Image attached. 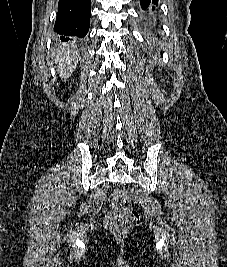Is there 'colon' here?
Wrapping results in <instances>:
<instances>
[{
    "instance_id": "5ec220e1",
    "label": "colon",
    "mask_w": 227,
    "mask_h": 267,
    "mask_svg": "<svg viewBox=\"0 0 227 267\" xmlns=\"http://www.w3.org/2000/svg\"><path fill=\"white\" fill-rule=\"evenodd\" d=\"M110 201L112 208L105 216V226L115 237L123 238L138 223L139 213L126 205L128 193L124 189L115 190Z\"/></svg>"
}]
</instances>
